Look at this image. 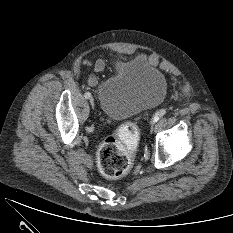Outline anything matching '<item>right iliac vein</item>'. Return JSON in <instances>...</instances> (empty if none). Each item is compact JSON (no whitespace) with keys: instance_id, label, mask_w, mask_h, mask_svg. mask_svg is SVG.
<instances>
[{"instance_id":"1","label":"right iliac vein","mask_w":233,"mask_h":233,"mask_svg":"<svg viewBox=\"0 0 233 233\" xmlns=\"http://www.w3.org/2000/svg\"><path fill=\"white\" fill-rule=\"evenodd\" d=\"M89 100H90V103H91L92 107L94 108V99L92 97H90Z\"/></svg>"}]
</instances>
